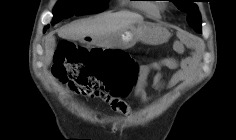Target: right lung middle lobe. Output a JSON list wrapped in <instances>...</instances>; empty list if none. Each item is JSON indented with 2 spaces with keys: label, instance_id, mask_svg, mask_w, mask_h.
I'll return each mask as SVG.
<instances>
[{
  "label": "right lung middle lobe",
  "instance_id": "dd1d6c3e",
  "mask_svg": "<svg viewBox=\"0 0 236 140\" xmlns=\"http://www.w3.org/2000/svg\"><path fill=\"white\" fill-rule=\"evenodd\" d=\"M107 0H60L53 10L52 25L73 15H83L103 11ZM49 28V25L45 28Z\"/></svg>",
  "mask_w": 236,
  "mask_h": 140
}]
</instances>
